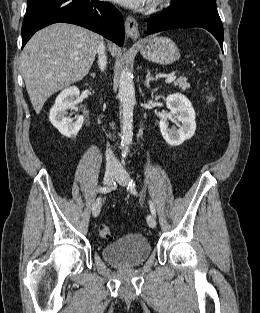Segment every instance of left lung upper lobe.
<instances>
[{"label": "left lung upper lobe", "mask_w": 260, "mask_h": 313, "mask_svg": "<svg viewBox=\"0 0 260 313\" xmlns=\"http://www.w3.org/2000/svg\"><path fill=\"white\" fill-rule=\"evenodd\" d=\"M172 3L180 6H201L216 9L215 0H172Z\"/></svg>", "instance_id": "left-lung-upper-lobe-1"}]
</instances>
